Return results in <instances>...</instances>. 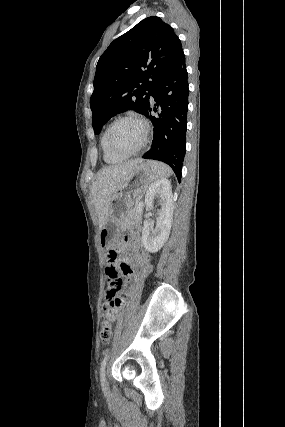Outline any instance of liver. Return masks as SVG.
Returning <instances> with one entry per match:
<instances>
[{
  "mask_svg": "<svg viewBox=\"0 0 285 427\" xmlns=\"http://www.w3.org/2000/svg\"><path fill=\"white\" fill-rule=\"evenodd\" d=\"M141 162H143L141 159L130 160L123 164L103 168L98 173L91 186V196L98 216L99 230L107 220L110 202L118 186L125 181L131 169Z\"/></svg>",
  "mask_w": 285,
  "mask_h": 427,
  "instance_id": "obj_1",
  "label": "liver"
}]
</instances>
